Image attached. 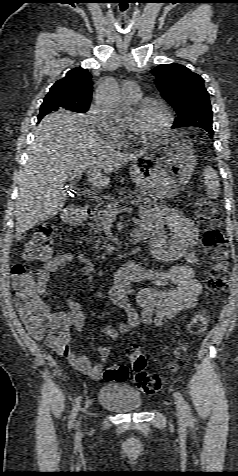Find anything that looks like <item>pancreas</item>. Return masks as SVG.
Here are the masks:
<instances>
[{"label": "pancreas", "mask_w": 238, "mask_h": 476, "mask_svg": "<svg viewBox=\"0 0 238 476\" xmlns=\"http://www.w3.org/2000/svg\"><path fill=\"white\" fill-rule=\"evenodd\" d=\"M119 194L121 197L118 200H113L110 203H108L104 208L96 209L91 217L92 222L90 223V234H95L97 235V240L94 242V247L98 250H100V244L102 243V240L104 239L101 235L102 233V225L104 223V218H103V213L105 210L108 209H115L116 207L119 206V203H125L126 200L129 199V196L125 195L124 191H120ZM136 198L133 199L131 202L133 205L138 206L139 209L142 210H150L152 208L158 207L157 205V200L154 199L153 197H148L146 195L140 194V193H135ZM90 241L92 239H89ZM104 246L103 248L106 250L107 253L112 252V246L108 244L106 241L103 242Z\"/></svg>", "instance_id": "cf45deb5"}]
</instances>
